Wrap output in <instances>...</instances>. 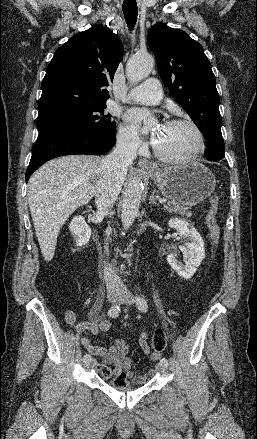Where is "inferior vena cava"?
<instances>
[{"instance_id": "602c4592", "label": "inferior vena cava", "mask_w": 257, "mask_h": 439, "mask_svg": "<svg viewBox=\"0 0 257 439\" xmlns=\"http://www.w3.org/2000/svg\"><path fill=\"white\" fill-rule=\"evenodd\" d=\"M137 154V145L129 139L117 142L114 151L102 160V178L95 194L98 215H106L119 195L127 167ZM107 250V247H105ZM104 279L107 288H122L123 282L116 273L104 267Z\"/></svg>"}]
</instances>
